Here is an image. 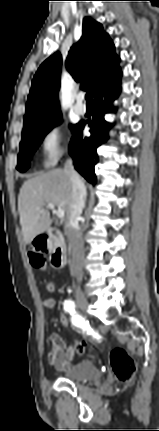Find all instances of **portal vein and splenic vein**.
<instances>
[{
  "mask_svg": "<svg viewBox=\"0 0 159 431\" xmlns=\"http://www.w3.org/2000/svg\"><path fill=\"white\" fill-rule=\"evenodd\" d=\"M48 208L53 210L55 212V214L57 215L58 218H64L65 212L62 208H58L57 210L55 209V205L53 203H48L47 204Z\"/></svg>",
  "mask_w": 159,
  "mask_h": 431,
  "instance_id": "1",
  "label": "portal vein and splenic vein"
}]
</instances>
